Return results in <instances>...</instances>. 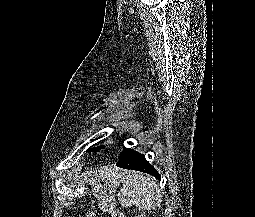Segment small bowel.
<instances>
[{
	"instance_id": "c3829d8e",
	"label": "small bowel",
	"mask_w": 255,
	"mask_h": 217,
	"mask_svg": "<svg viewBox=\"0 0 255 217\" xmlns=\"http://www.w3.org/2000/svg\"><path fill=\"white\" fill-rule=\"evenodd\" d=\"M102 208H103V210H105V211H109V207H108L107 204H105V203L102 205ZM84 217H93V215L90 214V213H86ZM116 217H121V216H120V214L118 213V214H116Z\"/></svg>"
}]
</instances>
